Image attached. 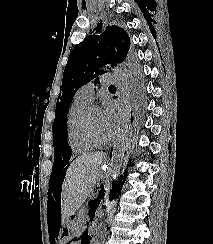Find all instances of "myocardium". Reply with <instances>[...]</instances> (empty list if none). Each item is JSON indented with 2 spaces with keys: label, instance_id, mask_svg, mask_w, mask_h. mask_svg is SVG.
Wrapping results in <instances>:
<instances>
[{
  "label": "myocardium",
  "instance_id": "1",
  "mask_svg": "<svg viewBox=\"0 0 213 244\" xmlns=\"http://www.w3.org/2000/svg\"><path fill=\"white\" fill-rule=\"evenodd\" d=\"M93 106H90L86 113H85V117H84V125H85V130L87 135L89 136V138L95 142L96 144L99 145H105V144H109L113 139H114V133L111 132L110 136L106 137V138H100L94 131L92 125H91V121H90V110Z\"/></svg>",
  "mask_w": 213,
  "mask_h": 244
}]
</instances>
